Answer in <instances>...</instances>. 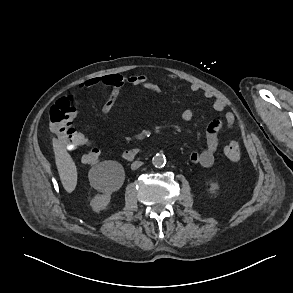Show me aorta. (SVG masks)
<instances>
[{
    "mask_svg": "<svg viewBox=\"0 0 293 293\" xmlns=\"http://www.w3.org/2000/svg\"><path fill=\"white\" fill-rule=\"evenodd\" d=\"M152 164L157 168H161L166 164V157L163 154H156L152 158Z\"/></svg>",
    "mask_w": 293,
    "mask_h": 293,
    "instance_id": "aorta-1",
    "label": "aorta"
}]
</instances>
